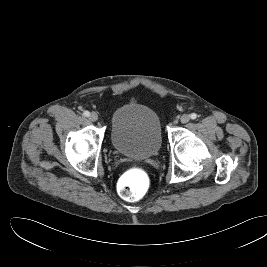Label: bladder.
I'll list each match as a JSON object with an SVG mask.
<instances>
[{"label": "bladder", "instance_id": "obj_1", "mask_svg": "<svg viewBox=\"0 0 267 267\" xmlns=\"http://www.w3.org/2000/svg\"><path fill=\"white\" fill-rule=\"evenodd\" d=\"M110 140L115 151L124 156L151 158L162 146L160 119L147 105L123 104L111 115Z\"/></svg>", "mask_w": 267, "mask_h": 267}]
</instances>
